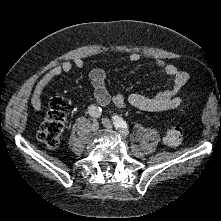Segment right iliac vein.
<instances>
[{"mask_svg": "<svg viewBox=\"0 0 221 221\" xmlns=\"http://www.w3.org/2000/svg\"><path fill=\"white\" fill-rule=\"evenodd\" d=\"M91 128H92V131H93V132H96V131L99 129V123H98L97 121H94V122L92 123Z\"/></svg>", "mask_w": 221, "mask_h": 221, "instance_id": "1", "label": "right iliac vein"}]
</instances>
